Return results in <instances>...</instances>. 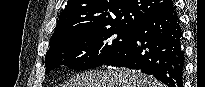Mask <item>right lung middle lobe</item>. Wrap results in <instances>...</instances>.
Returning a JSON list of instances; mask_svg holds the SVG:
<instances>
[{
  "instance_id": "obj_1",
  "label": "right lung middle lobe",
  "mask_w": 205,
  "mask_h": 87,
  "mask_svg": "<svg viewBox=\"0 0 205 87\" xmlns=\"http://www.w3.org/2000/svg\"><path fill=\"white\" fill-rule=\"evenodd\" d=\"M133 32L134 29L106 28L58 40L46 53V74L61 66L74 70L101 66L125 46Z\"/></svg>"
}]
</instances>
